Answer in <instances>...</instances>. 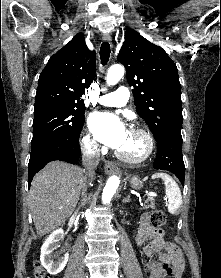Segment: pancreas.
<instances>
[{"label":"pancreas","instance_id":"1","mask_svg":"<svg viewBox=\"0 0 221 278\" xmlns=\"http://www.w3.org/2000/svg\"><path fill=\"white\" fill-rule=\"evenodd\" d=\"M154 207H155L154 199L151 197V198L147 199L146 205L143 206V209H149V208H154Z\"/></svg>","mask_w":221,"mask_h":278}]
</instances>
